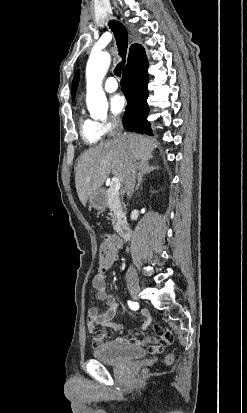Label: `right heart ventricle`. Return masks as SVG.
I'll return each mask as SVG.
<instances>
[{
  "instance_id": "obj_1",
  "label": "right heart ventricle",
  "mask_w": 247,
  "mask_h": 413,
  "mask_svg": "<svg viewBox=\"0 0 247 413\" xmlns=\"http://www.w3.org/2000/svg\"><path fill=\"white\" fill-rule=\"evenodd\" d=\"M81 136L89 145H96L102 137V133L96 130V126L91 123H83L81 125Z\"/></svg>"
}]
</instances>
